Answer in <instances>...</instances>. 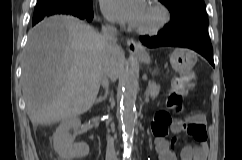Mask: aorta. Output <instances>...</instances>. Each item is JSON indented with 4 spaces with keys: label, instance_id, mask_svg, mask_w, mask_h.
<instances>
[{
    "label": "aorta",
    "instance_id": "aorta-1",
    "mask_svg": "<svg viewBox=\"0 0 242 160\" xmlns=\"http://www.w3.org/2000/svg\"><path fill=\"white\" fill-rule=\"evenodd\" d=\"M138 93V78L134 71H127L123 77V96L121 99V122L123 140L125 143L124 155L128 156L127 145L133 137L136 124L135 101Z\"/></svg>",
    "mask_w": 242,
    "mask_h": 160
}]
</instances>
